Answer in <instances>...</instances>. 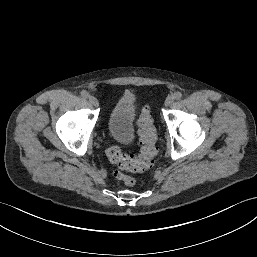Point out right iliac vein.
<instances>
[{"label": "right iliac vein", "mask_w": 257, "mask_h": 257, "mask_svg": "<svg viewBox=\"0 0 257 257\" xmlns=\"http://www.w3.org/2000/svg\"><path fill=\"white\" fill-rule=\"evenodd\" d=\"M89 101H90V103H91L93 106H95V107H97V106L99 105L97 98L94 97V96H92V95L89 96Z\"/></svg>", "instance_id": "obj_1"}]
</instances>
